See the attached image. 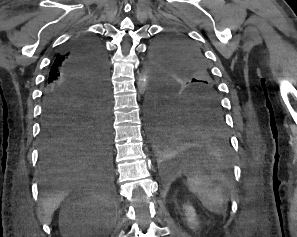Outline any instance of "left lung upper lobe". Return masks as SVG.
I'll list each match as a JSON object with an SVG mask.
<instances>
[{"instance_id":"obj_1","label":"left lung upper lobe","mask_w":297,"mask_h":237,"mask_svg":"<svg viewBox=\"0 0 297 237\" xmlns=\"http://www.w3.org/2000/svg\"><path fill=\"white\" fill-rule=\"evenodd\" d=\"M150 75L152 96L163 94L180 104L210 99L221 105L202 53L185 37L167 34L154 43Z\"/></svg>"}]
</instances>
